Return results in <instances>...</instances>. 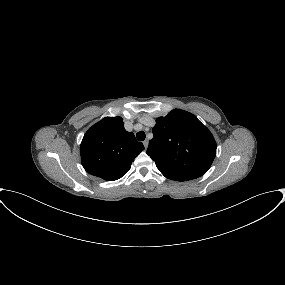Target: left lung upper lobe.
<instances>
[{
    "label": "left lung upper lobe",
    "mask_w": 285,
    "mask_h": 285,
    "mask_svg": "<svg viewBox=\"0 0 285 285\" xmlns=\"http://www.w3.org/2000/svg\"><path fill=\"white\" fill-rule=\"evenodd\" d=\"M147 154L168 179L187 181L207 172L216 156V142L198 118L175 109L156 119Z\"/></svg>",
    "instance_id": "5c2ea615"
}]
</instances>
